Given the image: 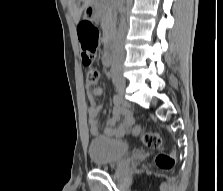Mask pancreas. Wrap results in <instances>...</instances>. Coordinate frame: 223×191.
Instances as JSON below:
<instances>
[{
	"label": "pancreas",
	"mask_w": 223,
	"mask_h": 191,
	"mask_svg": "<svg viewBox=\"0 0 223 191\" xmlns=\"http://www.w3.org/2000/svg\"><path fill=\"white\" fill-rule=\"evenodd\" d=\"M96 7L101 19V27L105 33H108L114 24L113 5L110 0H100Z\"/></svg>",
	"instance_id": "cf45deb5"
}]
</instances>
